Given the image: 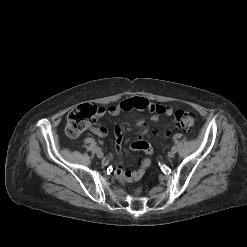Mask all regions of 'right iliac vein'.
I'll use <instances>...</instances> for the list:
<instances>
[{
    "mask_svg": "<svg viewBox=\"0 0 247 247\" xmlns=\"http://www.w3.org/2000/svg\"><path fill=\"white\" fill-rule=\"evenodd\" d=\"M96 155L98 158H103L104 154L101 150L96 151Z\"/></svg>",
    "mask_w": 247,
    "mask_h": 247,
    "instance_id": "1",
    "label": "right iliac vein"
}]
</instances>
